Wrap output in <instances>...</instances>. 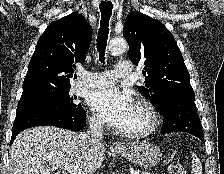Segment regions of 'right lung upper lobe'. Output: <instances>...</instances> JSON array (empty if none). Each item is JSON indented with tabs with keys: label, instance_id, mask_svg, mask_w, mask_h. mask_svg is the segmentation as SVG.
Segmentation results:
<instances>
[{
	"label": "right lung upper lobe",
	"instance_id": "right-lung-upper-lobe-1",
	"mask_svg": "<svg viewBox=\"0 0 224 174\" xmlns=\"http://www.w3.org/2000/svg\"><path fill=\"white\" fill-rule=\"evenodd\" d=\"M92 28L80 14L52 22L40 37L23 81L27 94L44 87L70 85L76 63H84Z\"/></svg>",
	"mask_w": 224,
	"mask_h": 174
}]
</instances>
